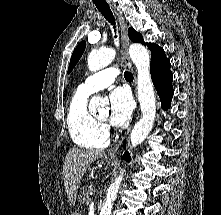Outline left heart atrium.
<instances>
[{
    "mask_svg": "<svg viewBox=\"0 0 221 215\" xmlns=\"http://www.w3.org/2000/svg\"><path fill=\"white\" fill-rule=\"evenodd\" d=\"M110 122L114 126L124 125L131 117L133 110L132 98L129 92L118 87L110 94Z\"/></svg>",
    "mask_w": 221,
    "mask_h": 215,
    "instance_id": "39dd6f15",
    "label": "left heart atrium"
}]
</instances>
